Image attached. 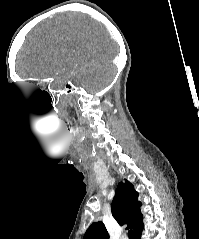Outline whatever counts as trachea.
<instances>
[{"label": "trachea", "instance_id": "obj_1", "mask_svg": "<svg viewBox=\"0 0 199 239\" xmlns=\"http://www.w3.org/2000/svg\"><path fill=\"white\" fill-rule=\"evenodd\" d=\"M128 237H129V239H134L133 231L132 230L128 231Z\"/></svg>", "mask_w": 199, "mask_h": 239}]
</instances>
